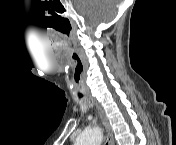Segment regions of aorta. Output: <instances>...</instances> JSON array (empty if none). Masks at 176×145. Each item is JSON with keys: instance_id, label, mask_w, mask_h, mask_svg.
<instances>
[{"instance_id": "762f6f07", "label": "aorta", "mask_w": 176, "mask_h": 145, "mask_svg": "<svg viewBox=\"0 0 176 145\" xmlns=\"http://www.w3.org/2000/svg\"><path fill=\"white\" fill-rule=\"evenodd\" d=\"M102 131L99 128H93L82 132L76 139L77 145H101Z\"/></svg>"}]
</instances>
